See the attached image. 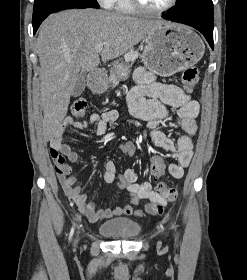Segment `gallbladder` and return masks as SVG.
Listing matches in <instances>:
<instances>
[{
	"label": "gallbladder",
	"instance_id": "bac80fb5",
	"mask_svg": "<svg viewBox=\"0 0 247 280\" xmlns=\"http://www.w3.org/2000/svg\"><path fill=\"white\" fill-rule=\"evenodd\" d=\"M85 73L81 72L78 77H77V81L73 87L72 90V96L74 97H78L80 96L84 90H85V86H86V80H85Z\"/></svg>",
	"mask_w": 247,
	"mask_h": 280
}]
</instances>
